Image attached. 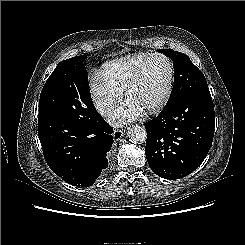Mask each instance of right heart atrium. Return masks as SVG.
Instances as JSON below:
<instances>
[{
	"label": "right heart atrium",
	"instance_id": "1",
	"mask_svg": "<svg viewBox=\"0 0 245 245\" xmlns=\"http://www.w3.org/2000/svg\"><path fill=\"white\" fill-rule=\"evenodd\" d=\"M90 90L95 105L102 114L107 113L122 97V90L111 84L100 71L91 74Z\"/></svg>",
	"mask_w": 245,
	"mask_h": 245
}]
</instances>
